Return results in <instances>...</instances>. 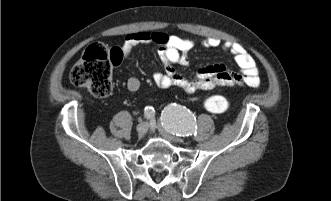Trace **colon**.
Wrapping results in <instances>:
<instances>
[{
  "instance_id": "obj_1",
  "label": "colon",
  "mask_w": 331,
  "mask_h": 201,
  "mask_svg": "<svg viewBox=\"0 0 331 201\" xmlns=\"http://www.w3.org/2000/svg\"><path fill=\"white\" fill-rule=\"evenodd\" d=\"M121 58L122 52L119 49H107L101 44H91L72 68L70 81L94 96L106 97L112 91V66ZM204 107L211 113L221 114L230 109L231 101L221 95L210 96L204 100Z\"/></svg>"
}]
</instances>
